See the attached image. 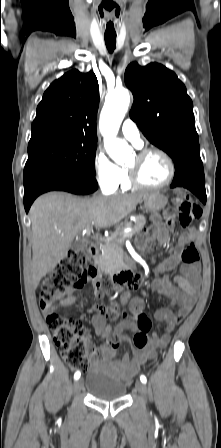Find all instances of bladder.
<instances>
[{
  "instance_id": "1",
  "label": "bladder",
  "mask_w": 221,
  "mask_h": 448,
  "mask_svg": "<svg viewBox=\"0 0 221 448\" xmlns=\"http://www.w3.org/2000/svg\"><path fill=\"white\" fill-rule=\"evenodd\" d=\"M83 386L94 399L102 401L121 400L127 391V386L121 379L98 369L92 370L86 376Z\"/></svg>"
}]
</instances>
